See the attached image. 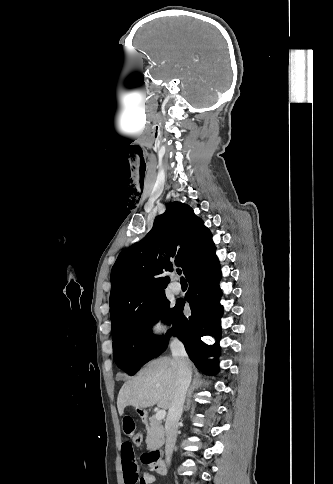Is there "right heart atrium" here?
Returning <instances> with one entry per match:
<instances>
[{
  "label": "right heart atrium",
  "mask_w": 333,
  "mask_h": 484,
  "mask_svg": "<svg viewBox=\"0 0 333 484\" xmlns=\"http://www.w3.org/2000/svg\"><path fill=\"white\" fill-rule=\"evenodd\" d=\"M171 331V325L166 316L162 314L155 315L149 322V333L155 340L166 338Z\"/></svg>",
  "instance_id": "d8ad5b80"
}]
</instances>
